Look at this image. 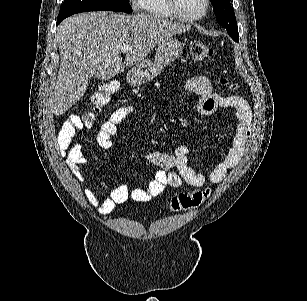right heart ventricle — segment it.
Listing matches in <instances>:
<instances>
[{"instance_id":"e07e8e85","label":"right heart ventricle","mask_w":307,"mask_h":301,"mask_svg":"<svg viewBox=\"0 0 307 301\" xmlns=\"http://www.w3.org/2000/svg\"><path fill=\"white\" fill-rule=\"evenodd\" d=\"M165 1L169 0H139L138 8H145L151 17H172V10L166 9Z\"/></svg>"}]
</instances>
